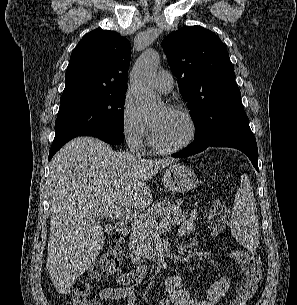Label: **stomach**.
<instances>
[{
  "instance_id": "1",
  "label": "stomach",
  "mask_w": 297,
  "mask_h": 305,
  "mask_svg": "<svg viewBox=\"0 0 297 305\" xmlns=\"http://www.w3.org/2000/svg\"><path fill=\"white\" fill-rule=\"evenodd\" d=\"M162 183L171 192L184 193L197 187L198 178L189 167L175 164L166 169Z\"/></svg>"
}]
</instances>
